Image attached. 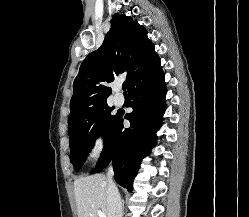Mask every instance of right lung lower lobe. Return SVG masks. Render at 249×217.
Masks as SVG:
<instances>
[{
	"label": "right lung lower lobe",
	"mask_w": 249,
	"mask_h": 217,
	"mask_svg": "<svg viewBox=\"0 0 249 217\" xmlns=\"http://www.w3.org/2000/svg\"><path fill=\"white\" fill-rule=\"evenodd\" d=\"M133 108L125 115L131 126H123V113L111 129L100 159L91 173L103 170L113 162L115 181L132 191L133 180L140 167V162L156 144V131L161 126L165 111L166 86L164 73L158 55L136 77L128 88Z\"/></svg>",
	"instance_id": "obj_1"
}]
</instances>
